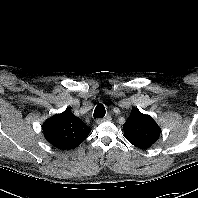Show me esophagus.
Returning <instances> with one entry per match:
<instances>
[{
  "mask_svg": "<svg viewBox=\"0 0 198 198\" xmlns=\"http://www.w3.org/2000/svg\"><path fill=\"white\" fill-rule=\"evenodd\" d=\"M106 121H111V116L107 115V116L104 117V118H98V119L96 120V123H97V124H100V123H103V122H106Z\"/></svg>",
  "mask_w": 198,
  "mask_h": 198,
  "instance_id": "esophagus-1",
  "label": "esophagus"
}]
</instances>
